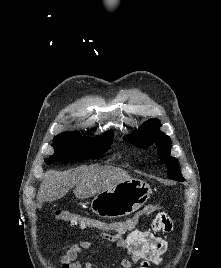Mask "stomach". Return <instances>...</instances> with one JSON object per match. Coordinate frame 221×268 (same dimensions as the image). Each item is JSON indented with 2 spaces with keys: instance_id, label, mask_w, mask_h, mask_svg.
Instances as JSON below:
<instances>
[{
  "instance_id": "1",
  "label": "stomach",
  "mask_w": 221,
  "mask_h": 268,
  "mask_svg": "<svg viewBox=\"0 0 221 268\" xmlns=\"http://www.w3.org/2000/svg\"><path fill=\"white\" fill-rule=\"evenodd\" d=\"M151 188L142 180L130 179L97 194L92 211L102 218H118L137 211L150 197Z\"/></svg>"
}]
</instances>
